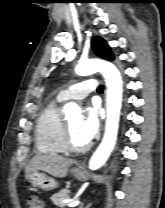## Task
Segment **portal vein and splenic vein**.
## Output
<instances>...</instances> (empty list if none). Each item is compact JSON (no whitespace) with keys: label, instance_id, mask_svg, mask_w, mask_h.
<instances>
[{"label":"portal vein and splenic vein","instance_id":"1","mask_svg":"<svg viewBox=\"0 0 165 208\" xmlns=\"http://www.w3.org/2000/svg\"><path fill=\"white\" fill-rule=\"evenodd\" d=\"M64 202L68 205V207H76L79 205V200H64Z\"/></svg>","mask_w":165,"mask_h":208}]
</instances>
